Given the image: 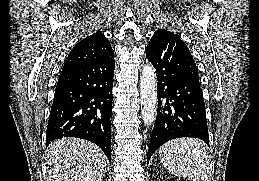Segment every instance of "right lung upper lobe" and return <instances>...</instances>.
Listing matches in <instances>:
<instances>
[{"instance_id":"cb5924a9","label":"right lung upper lobe","mask_w":259,"mask_h":181,"mask_svg":"<svg viewBox=\"0 0 259 181\" xmlns=\"http://www.w3.org/2000/svg\"><path fill=\"white\" fill-rule=\"evenodd\" d=\"M113 53L108 39L98 31L78 42L70 51L63 69L99 60Z\"/></svg>"}]
</instances>
